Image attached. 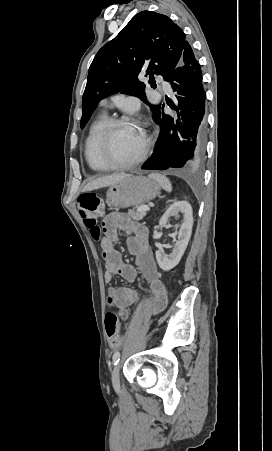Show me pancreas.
<instances>
[{"mask_svg":"<svg viewBox=\"0 0 272 451\" xmlns=\"http://www.w3.org/2000/svg\"><path fill=\"white\" fill-rule=\"evenodd\" d=\"M128 214L132 220H143L144 216H146V212H136V208L129 210Z\"/></svg>","mask_w":272,"mask_h":451,"instance_id":"1","label":"pancreas"}]
</instances>
